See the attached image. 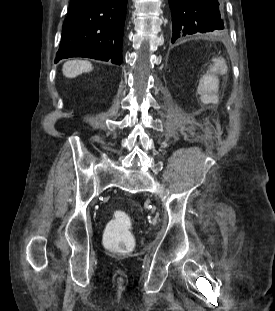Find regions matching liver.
<instances>
[{
    "label": "liver",
    "instance_id": "obj_1",
    "mask_svg": "<svg viewBox=\"0 0 275 311\" xmlns=\"http://www.w3.org/2000/svg\"><path fill=\"white\" fill-rule=\"evenodd\" d=\"M92 69V64L89 61L71 60L64 63L62 71L65 77L73 78Z\"/></svg>",
    "mask_w": 275,
    "mask_h": 311
}]
</instances>
